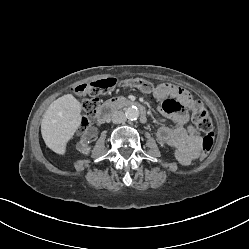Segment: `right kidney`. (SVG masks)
Masks as SVG:
<instances>
[{
    "label": "right kidney",
    "mask_w": 249,
    "mask_h": 249,
    "mask_svg": "<svg viewBox=\"0 0 249 249\" xmlns=\"http://www.w3.org/2000/svg\"><path fill=\"white\" fill-rule=\"evenodd\" d=\"M98 133L97 127H90L88 132L82 134L81 140L77 145V150L84 155H88L90 153L88 146L95 142V137L98 136Z\"/></svg>",
    "instance_id": "1"
}]
</instances>
